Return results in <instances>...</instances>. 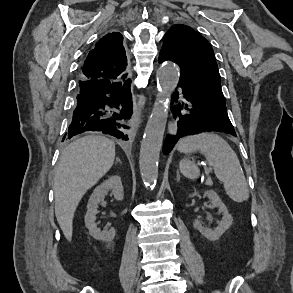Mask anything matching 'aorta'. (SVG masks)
<instances>
[{"label": "aorta", "mask_w": 293, "mask_h": 293, "mask_svg": "<svg viewBox=\"0 0 293 293\" xmlns=\"http://www.w3.org/2000/svg\"><path fill=\"white\" fill-rule=\"evenodd\" d=\"M159 94L147 122L141 141L139 168L146 186L152 187L158 178V161L167 122L168 104L179 81V70L172 62L163 64L157 72Z\"/></svg>", "instance_id": "762f6f07"}]
</instances>
